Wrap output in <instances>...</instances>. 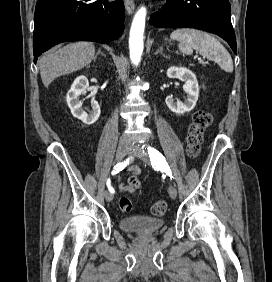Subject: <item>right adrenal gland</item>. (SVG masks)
I'll return each instance as SVG.
<instances>
[{
  "label": "right adrenal gland",
  "instance_id": "1",
  "mask_svg": "<svg viewBox=\"0 0 272 282\" xmlns=\"http://www.w3.org/2000/svg\"><path fill=\"white\" fill-rule=\"evenodd\" d=\"M100 54L103 55L104 57H106V55L101 51V49H98V51H97V53H96V55L94 57V60H96L97 56L100 55Z\"/></svg>",
  "mask_w": 272,
  "mask_h": 282
}]
</instances>
